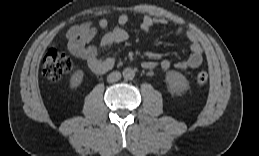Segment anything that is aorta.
Returning a JSON list of instances; mask_svg holds the SVG:
<instances>
[{
    "label": "aorta",
    "instance_id": "762f6f07",
    "mask_svg": "<svg viewBox=\"0 0 259 156\" xmlns=\"http://www.w3.org/2000/svg\"><path fill=\"white\" fill-rule=\"evenodd\" d=\"M122 74L125 80H132L135 77V71L132 68H125Z\"/></svg>",
    "mask_w": 259,
    "mask_h": 156
}]
</instances>
